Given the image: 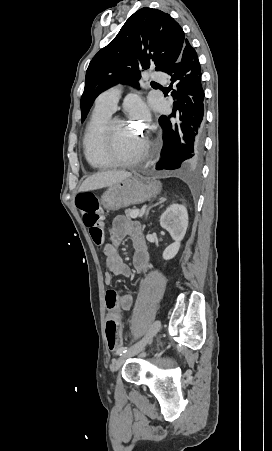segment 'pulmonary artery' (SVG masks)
Here are the masks:
<instances>
[{"label": "pulmonary artery", "instance_id": "1", "mask_svg": "<svg viewBox=\"0 0 272 451\" xmlns=\"http://www.w3.org/2000/svg\"><path fill=\"white\" fill-rule=\"evenodd\" d=\"M149 70L152 72L154 69L151 67ZM165 78L166 77L164 75L163 70L157 69L152 72V77L150 76L146 79V82L150 85L153 84L154 81L160 82V85L162 87H165L167 85ZM120 95H121V87L119 85L115 86L98 96V98L96 99V106L107 109L112 112L115 110Z\"/></svg>", "mask_w": 272, "mask_h": 451}]
</instances>
